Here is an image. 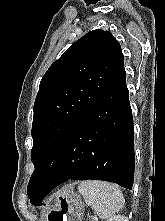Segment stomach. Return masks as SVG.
I'll use <instances>...</instances> for the list:
<instances>
[{
	"mask_svg": "<svg viewBox=\"0 0 165 221\" xmlns=\"http://www.w3.org/2000/svg\"><path fill=\"white\" fill-rule=\"evenodd\" d=\"M83 207L81 198L68 186L58 194L55 204L47 208L46 214V217L68 218H47L46 221H80Z\"/></svg>",
	"mask_w": 165,
	"mask_h": 221,
	"instance_id": "stomach-1",
	"label": "stomach"
}]
</instances>
